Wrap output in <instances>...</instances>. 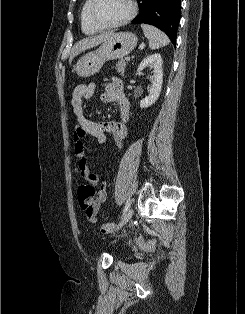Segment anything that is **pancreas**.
Segmentation results:
<instances>
[{"label": "pancreas", "instance_id": "1", "mask_svg": "<svg viewBox=\"0 0 245 314\" xmlns=\"http://www.w3.org/2000/svg\"><path fill=\"white\" fill-rule=\"evenodd\" d=\"M125 68H126L125 60L121 59L120 61H118V63L116 64V69L120 75H124Z\"/></svg>", "mask_w": 245, "mask_h": 314}]
</instances>
